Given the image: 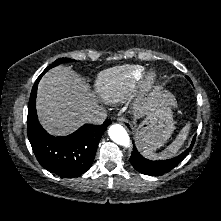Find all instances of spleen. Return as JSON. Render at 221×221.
Listing matches in <instances>:
<instances>
[{"instance_id":"obj_1","label":"spleen","mask_w":221,"mask_h":221,"mask_svg":"<svg viewBox=\"0 0 221 221\" xmlns=\"http://www.w3.org/2000/svg\"><path fill=\"white\" fill-rule=\"evenodd\" d=\"M189 129H190V124H186V126H184L183 129L180 131V133L177 135L176 139L161 153L157 154L147 149L142 152L143 155L149 159H165L172 157L178 152V150L184 144L188 136Z\"/></svg>"}]
</instances>
